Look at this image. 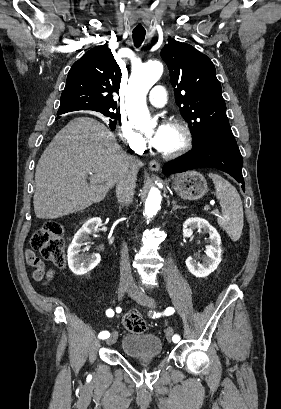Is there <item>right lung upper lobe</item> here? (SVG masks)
<instances>
[{
	"label": "right lung upper lobe",
	"mask_w": 281,
	"mask_h": 409,
	"mask_svg": "<svg viewBox=\"0 0 281 409\" xmlns=\"http://www.w3.org/2000/svg\"><path fill=\"white\" fill-rule=\"evenodd\" d=\"M121 69L111 50L96 46L76 61L68 74L57 115L71 111L107 112L116 109L113 93H118Z\"/></svg>",
	"instance_id": "1"
}]
</instances>
